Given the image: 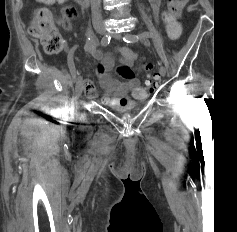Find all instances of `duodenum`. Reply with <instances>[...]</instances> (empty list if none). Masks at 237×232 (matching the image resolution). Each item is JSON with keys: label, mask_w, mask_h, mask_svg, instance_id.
<instances>
[{"label": "duodenum", "mask_w": 237, "mask_h": 232, "mask_svg": "<svg viewBox=\"0 0 237 232\" xmlns=\"http://www.w3.org/2000/svg\"><path fill=\"white\" fill-rule=\"evenodd\" d=\"M79 5L86 7L89 4V0H75Z\"/></svg>", "instance_id": "410a0bca"}]
</instances>
